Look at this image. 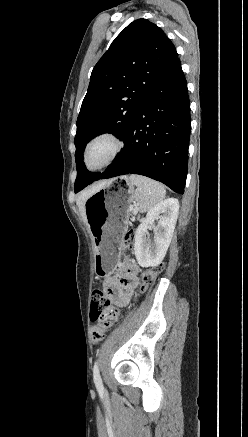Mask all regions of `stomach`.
Here are the masks:
<instances>
[{"label":"stomach","instance_id":"obj_1","mask_svg":"<svg viewBox=\"0 0 248 437\" xmlns=\"http://www.w3.org/2000/svg\"><path fill=\"white\" fill-rule=\"evenodd\" d=\"M126 182L128 188L122 186ZM134 189L126 176L106 182L85 202L86 222L94 245L99 276L114 272L122 237L127 230Z\"/></svg>","mask_w":248,"mask_h":437}]
</instances>
